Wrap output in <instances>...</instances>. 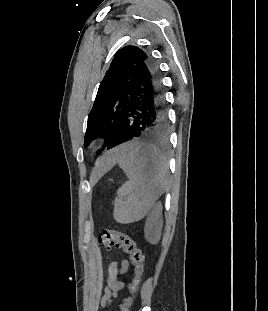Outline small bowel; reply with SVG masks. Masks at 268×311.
Returning <instances> with one entry per match:
<instances>
[{
  "label": "small bowel",
  "mask_w": 268,
  "mask_h": 311,
  "mask_svg": "<svg viewBox=\"0 0 268 311\" xmlns=\"http://www.w3.org/2000/svg\"><path fill=\"white\" fill-rule=\"evenodd\" d=\"M128 270V262H111L108 267V273L105 280L101 305L107 306L117 293L124 288V283L118 279L120 274H124Z\"/></svg>",
  "instance_id": "small-bowel-1"
}]
</instances>
